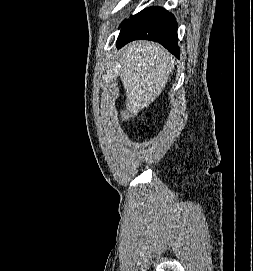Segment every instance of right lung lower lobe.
I'll list each match as a JSON object with an SVG mask.
<instances>
[{
    "label": "right lung lower lobe",
    "mask_w": 253,
    "mask_h": 271,
    "mask_svg": "<svg viewBox=\"0 0 253 271\" xmlns=\"http://www.w3.org/2000/svg\"><path fill=\"white\" fill-rule=\"evenodd\" d=\"M116 46L130 41L147 39L160 43L176 57L180 56L175 17L161 7H149L124 21Z\"/></svg>",
    "instance_id": "98d812e1"
}]
</instances>
